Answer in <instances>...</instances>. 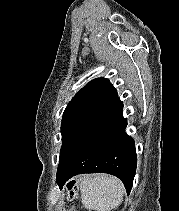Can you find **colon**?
Instances as JSON below:
<instances>
[{
  "label": "colon",
  "mask_w": 179,
  "mask_h": 211,
  "mask_svg": "<svg viewBox=\"0 0 179 211\" xmlns=\"http://www.w3.org/2000/svg\"><path fill=\"white\" fill-rule=\"evenodd\" d=\"M68 190H69V198L73 200L77 196V192H78V187L75 181L73 180L70 181Z\"/></svg>",
  "instance_id": "5ec220e1"
}]
</instances>
